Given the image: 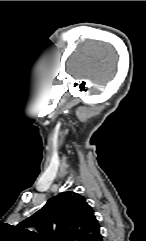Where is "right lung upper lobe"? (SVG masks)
<instances>
[{
    "mask_svg": "<svg viewBox=\"0 0 146 241\" xmlns=\"http://www.w3.org/2000/svg\"><path fill=\"white\" fill-rule=\"evenodd\" d=\"M21 223L38 228V233L28 234L35 241H102L94 211L83 196L72 191L49 199Z\"/></svg>",
    "mask_w": 146,
    "mask_h": 241,
    "instance_id": "obj_1",
    "label": "right lung upper lobe"
}]
</instances>
